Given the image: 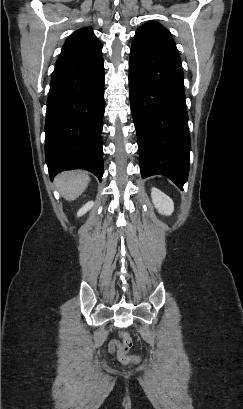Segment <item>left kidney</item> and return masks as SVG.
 <instances>
[{"label": "left kidney", "instance_id": "1", "mask_svg": "<svg viewBox=\"0 0 243 409\" xmlns=\"http://www.w3.org/2000/svg\"><path fill=\"white\" fill-rule=\"evenodd\" d=\"M151 198L155 208L158 209L159 213L163 215H170L173 212V201L157 188H152Z\"/></svg>", "mask_w": 243, "mask_h": 409}]
</instances>
